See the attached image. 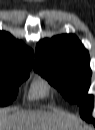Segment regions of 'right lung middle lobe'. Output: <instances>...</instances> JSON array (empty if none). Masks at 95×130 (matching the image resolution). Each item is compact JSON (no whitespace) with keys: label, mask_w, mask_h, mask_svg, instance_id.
Here are the masks:
<instances>
[{"label":"right lung middle lobe","mask_w":95,"mask_h":130,"mask_svg":"<svg viewBox=\"0 0 95 130\" xmlns=\"http://www.w3.org/2000/svg\"><path fill=\"white\" fill-rule=\"evenodd\" d=\"M29 70H0V106L8 105L16 98L18 87L29 76Z\"/></svg>","instance_id":"dd1d6c3e"}]
</instances>
